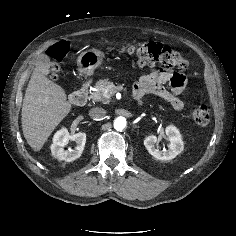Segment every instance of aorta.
Instances as JSON below:
<instances>
[{"label":"aorta","instance_id":"aorta-1","mask_svg":"<svg viewBox=\"0 0 236 236\" xmlns=\"http://www.w3.org/2000/svg\"><path fill=\"white\" fill-rule=\"evenodd\" d=\"M126 119L124 117H117L115 120H114V128L117 130V131H122L123 129H125L126 127Z\"/></svg>","mask_w":236,"mask_h":236}]
</instances>
